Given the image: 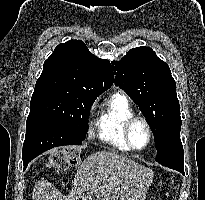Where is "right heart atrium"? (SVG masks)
<instances>
[{
  "label": "right heart atrium",
  "mask_w": 205,
  "mask_h": 200,
  "mask_svg": "<svg viewBox=\"0 0 205 200\" xmlns=\"http://www.w3.org/2000/svg\"><path fill=\"white\" fill-rule=\"evenodd\" d=\"M95 107H96V104H95V103H93V104L91 105V107H90V110H89V113H90V114H92V113H93V111H94Z\"/></svg>",
  "instance_id": "obj_1"
}]
</instances>
